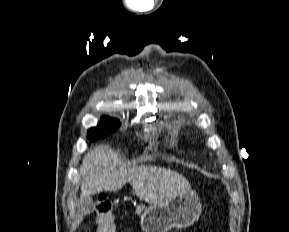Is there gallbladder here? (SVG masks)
<instances>
[{
    "instance_id": "1",
    "label": "gallbladder",
    "mask_w": 289,
    "mask_h": 232,
    "mask_svg": "<svg viewBox=\"0 0 289 232\" xmlns=\"http://www.w3.org/2000/svg\"><path fill=\"white\" fill-rule=\"evenodd\" d=\"M81 202H82L83 207L88 212H90L94 207V202H93L91 197H87V198H83V199L81 198Z\"/></svg>"
}]
</instances>
